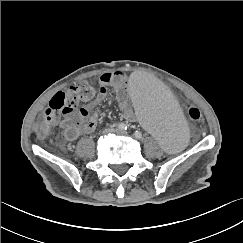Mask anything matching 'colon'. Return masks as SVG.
<instances>
[{
  "label": "colon",
  "instance_id": "5ec220e1",
  "mask_svg": "<svg viewBox=\"0 0 243 243\" xmlns=\"http://www.w3.org/2000/svg\"><path fill=\"white\" fill-rule=\"evenodd\" d=\"M95 96L96 91L88 82H81L66 91L55 94L49 102L43 121L37 127V135L41 138L48 136L61 114L75 112L80 103L90 101ZM186 113L192 122L196 124L203 122L202 114L195 106L187 105Z\"/></svg>",
  "mask_w": 243,
  "mask_h": 243
}]
</instances>
